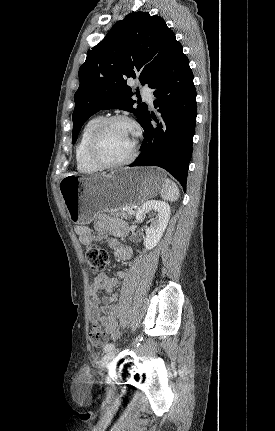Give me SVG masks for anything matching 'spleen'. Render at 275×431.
Here are the masks:
<instances>
[{
	"instance_id": "spleen-1",
	"label": "spleen",
	"mask_w": 275,
	"mask_h": 431,
	"mask_svg": "<svg viewBox=\"0 0 275 431\" xmlns=\"http://www.w3.org/2000/svg\"><path fill=\"white\" fill-rule=\"evenodd\" d=\"M160 194L163 199L173 202L179 198V188L175 182L166 178Z\"/></svg>"
}]
</instances>
